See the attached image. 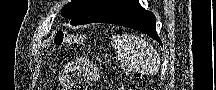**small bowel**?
Returning <instances> with one entry per match:
<instances>
[{"label": "small bowel", "mask_w": 216, "mask_h": 90, "mask_svg": "<svg viewBox=\"0 0 216 90\" xmlns=\"http://www.w3.org/2000/svg\"><path fill=\"white\" fill-rule=\"evenodd\" d=\"M75 71H80L83 80L92 84L95 83L99 78V73L97 67L92 63H69L65 66L63 73L59 77L60 87L58 90H74L75 81L72 77V73Z\"/></svg>", "instance_id": "obj_1"}]
</instances>
